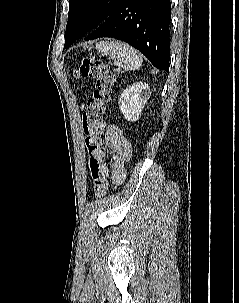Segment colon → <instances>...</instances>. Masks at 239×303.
<instances>
[{"mask_svg": "<svg viewBox=\"0 0 239 303\" xmlns=\"http://www.w3.org/2000/svg\"><path fill=\"white\" fill-rule=\"evenodd\" d=\"M76 77L91 78L95 83L93 96L87 103L82 128L85 146L88 151V165L92 178V189L97 197H103L108 188L109 167L105 161L106 150L103 146L105 122L103 119L111 101L115 75L109 66L93 56L83 58L74 72Z\"/></svg>", "mask_w": 239, "mask_h": 303, "instance_id": "5ec220e1", "label": "colon"}]
</instances>
